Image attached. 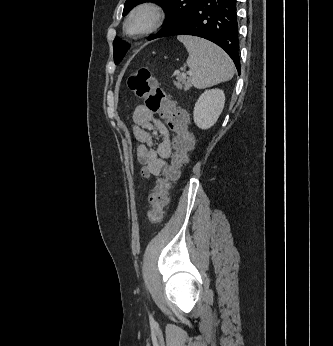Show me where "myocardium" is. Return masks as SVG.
Returning a JSON list of instances; mask_svg holds the SVG:
<instances>
[{"mask_svg":"<svg viewBox=\"0 0 333 346\" xmlns=\"http://www.w3.org/2000/svg\"><path fill=\"white\" fill-rule=\"evenodd\" d=\"M141 14H147L150 18L149 23L143 29L131 30V22ZM166 11L157 1L148 0L136 5L127 15L123 23V32L132 38L148 35L156 31L164 22Z\"/></svg>","mask_w":333,"mask_h":346,"instance_id":"1","label":"myocardium"}]
</instances>
